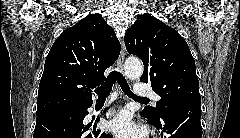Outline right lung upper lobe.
<instances>
[{"label":"right lung upper lobe","instance_id":"obj_1","mask_svg":"<svg viewBox=\"0 0 240 138\" xmlns=\"http://www.w3.org/2000/svg\"><path fill=\"white\" fill-rule=\"evenodd\" d=\"M119 53L113 28L98 13L66 29L46 58L36 115L93 103L92 89L105 81Z\"/></svg>","mask_w":240,"mask_h":138}]
</instances>
